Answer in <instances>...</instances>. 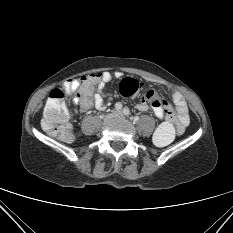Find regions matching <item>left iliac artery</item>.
<instances>
[{
    "label": "left iliac artery",
    "instance_id": "44dca946",
    "mask_svg": "<svg viewBox=\"0 0 233 233\" xmlns=\"http://www.w3.org/2000/svg\"><path fill=\"white\" fill-rule=\"evenodd\" d=\"M123 113H124V115H126V116H128L129 114H130V110L128 109V108H124L123 109ZM137 120V119H136Z\"/></svg>",
    "mask_w": 233,
    "mask_h": 233
}]
</instances>
